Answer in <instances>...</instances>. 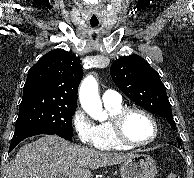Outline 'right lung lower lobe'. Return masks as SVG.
<instances>
[{"instance_id":"right-lung-lower-lobe-1","label":"right lung lower lobe","mask_w":194,"mask_h":178,"mask_svg":"<svg viewBox=\"0 0 194 178\" xmlns=\"http://www.w3.org/2000/svg\"><path fill=\"white\" fill-rule=\"evenodd\" d=\"M39 134H55L67 140H72V136L56 134L53 131H50L47 129H41V128L23 129V130L15 131L14 136L11 140L9 151L13 150L16 147V145L19 142H21L23 139L34 136V135H39Z\"/></svg>"}]
</instances>
